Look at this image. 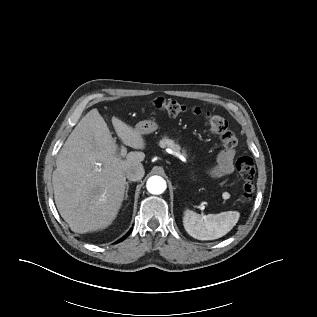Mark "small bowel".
Here are the masks:
<instances>
[{"instance_id":"obj_1","label":"small bowel","mask_w":317,"mask_h":317,"mask_svg":"<svg viewBox=\"0 0 317 317\" xmlns=\"http://www.w3.org/2000/svg\"><path fill=\"white\" fill-rule=\"evenodd\" d=\"M234 158L233 149L222 150L217 157L216 164L210 169V174L216 178L231 174L234 170Z\"/></svg>"}]
</instances>
